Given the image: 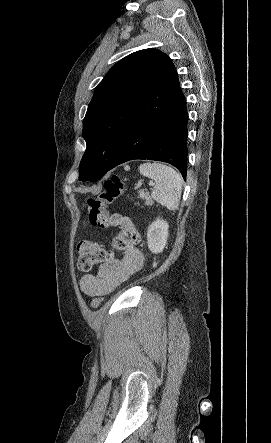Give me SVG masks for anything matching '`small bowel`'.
<instances>
[{"mask_svg":"<svg viewBox=\"0 0 271 443\" xmlns=\"http://www.w3.org/2000/svg\"><path fill=\"white\" fill-rule=\"evenodd\" d=\"M143 262V254L137 248L125 251L120 258L111 255L97 272L81 278L80 288L89 296H105L137 274Z\"/></svg>","mask_w":271,"mask_h":443,"instance_id":"c3829d8e","label":"small bowel"}]
</instances>
